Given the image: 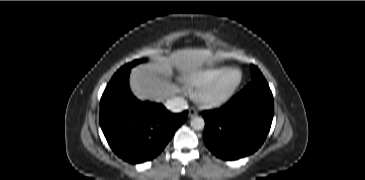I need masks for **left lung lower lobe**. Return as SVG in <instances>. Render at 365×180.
<instances>
[{"mask_svg": "<svg viewBox=\"0 0 365 180\" xmlns=\"http://www.w3.org/2000/svg\"><path fill=\"white\" fill-rule=\"evenodd\" d=\"M202 115L208 149L219 158L236 160L263 144L274 115L273 96L265 78H257L228 104Z\"/></svg>", "mask_w": 365, "mask_h": 180, "instance_id": "obj_1", "label": "left lung lower lobe"}]
</instances>
